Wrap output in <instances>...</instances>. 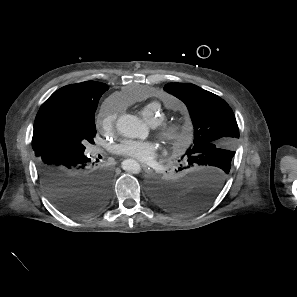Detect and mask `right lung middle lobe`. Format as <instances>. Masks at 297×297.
Wrapping results in <instances>:
<instances>
[{"mask_svg": "<svg viewBox=\"0 0 297 297\" xmlns=\"http://www.w3.org/2000/svg\"><path fill=\"white\" fill-rule=\"evenodd\" d=\"M95 110L76 114L63 109L51 116L42 129L40 147L43 151L61 149L71 153H84V144L94 143L96 135Z\"/></svg>", "mask_w": 297, "mask_h": 297, "instance_id": "dd1d6c3e", "label": "right lung middle lobe"}]
</instances>
